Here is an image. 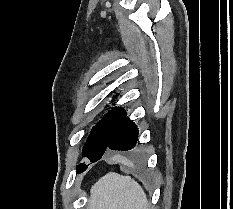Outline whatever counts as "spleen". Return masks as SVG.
Masks as SVG:
<instances>
[{
	"mask_svg": "<svg viewBox=\"0 0 233 209\" xmlns=\"http://www.w3.org/2000/svg\"><path fill=\"white\" fill-rule=\"evenodd\" d=\"M89 209H150L142 187L130 176L109 172L91 188Z\"/></svg>",
	"mask_w": 233,
	"mask_h": 209,
	"instance_id": "3e777b00",
	"label": "spleen"
}]
</instances>
